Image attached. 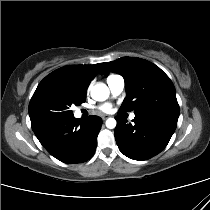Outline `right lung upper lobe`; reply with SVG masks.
<instances>
[{"instance_id":"1","label":"right lung upper lobe","mask_w":210,"mask_h":210,"mask_svg":"<svg viewBox=\"0 0 210 210\" xmlns=\"http://www.w3.org/2000/svg\"><path fill=\"white\" fill-rule=\"evenodd\" d=\"M103 63L94 65H69L59 68L47 75L38 85L30 104L29 115L33 114L35 104L39 97L54 88H71L80 93H85L90 82L100 71Z\"/></svg>"}]
</instances>
